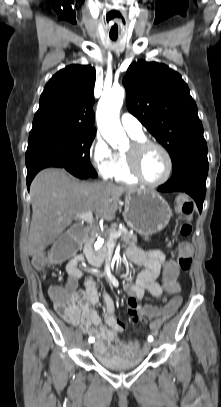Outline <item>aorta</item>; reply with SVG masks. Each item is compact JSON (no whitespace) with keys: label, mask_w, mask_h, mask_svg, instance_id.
Returning <instances> with one entry per match:
<instances>
[{"label":"aorta","mask_w":221,"mask_h":407,"mask_svg":"<svg viewBox=\"0 0 221 407\" xmlns=\"http://www.w3.org/2000/svg\"><path fill=\"white\" fill-rule=\"evenodd\" d=\"M125 90L123 87L112 88L104 92L97 106L96 119L100 133L113 147L117 148L126 141L124 129L119 120Z\"/></svg>","instance_id":"aorta-1"}]
</instances>
